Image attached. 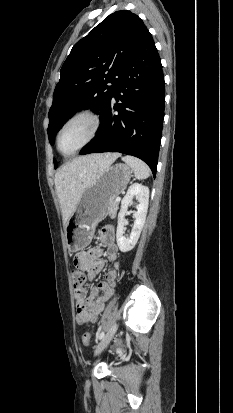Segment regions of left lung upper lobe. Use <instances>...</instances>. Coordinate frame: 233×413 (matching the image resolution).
I'll return each mask as SVG.
<instances>
[{"label":"left lung upper lobe","mask_w":233,"mask_h":413,"mask_svg":"<svg viewBox=\"0 0 233 413\" xmlns=\"http://www.w3.org/2000/svg\"><path fill=\"white\" fill-rule=\"evenodd\" d=\"M147 31L136 14L120 10L73 46L60 70L49 110L51 144L64 122L80 108L92 107L104 113L123 68Z\"/></svg>","instance_id":"5c2ea615"}]
</instances>
